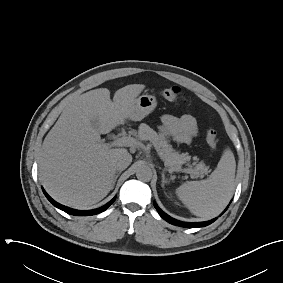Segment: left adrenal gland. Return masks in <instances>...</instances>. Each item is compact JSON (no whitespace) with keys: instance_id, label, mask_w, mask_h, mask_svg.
Here are the masks:
<instances>
[{"instance_id":"a2214340","label":"left adrenal gland","mask_w":283,"mask_h":283,"mask_svg":"<svg viewBox=\"0 0 283 283\" xmlns=\"http://www.w3.org/2000/svg\"><path fill=\"white\" fill-rule=\"evenodd\" d=\"M161 175H162V184H161V186L164 188V185L169 183V180L165 178L164 172H162Z\"/></svg>"}]
</instances>
